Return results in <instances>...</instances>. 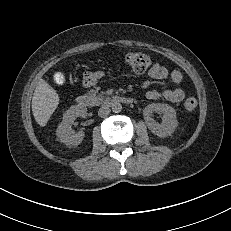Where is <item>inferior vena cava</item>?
I'll use <instances>...</instances> for the list:
<instances>
[{"label": "inferior vena cava", "mask_w": 231, "mask_h": 231, "mask_svg": "<svg viewBox=\"0 0 231 231\" xmlns=\"http://www.w3.org/2000/svg\"><path fill=\"white\" fill-rule=\"evenodd\" d=\"M111 110L108 106H102L99 110H98V115L102 118L107 117L110 114Z\"/></svg>", "instance_id": "obj_1"}]
</instances>
